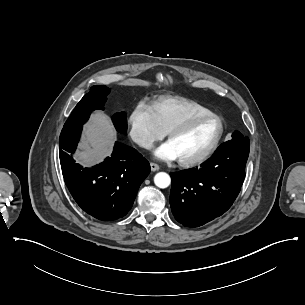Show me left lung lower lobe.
Returning <instances> with one entry per match:
<instances>
[{
  "label": "left lung lower lobe",
  "mask_w": 305,
  "mask_h": 305,
  "mask_svg": "<svg viewBox=\"0 0 305 305\" xmlns=\"http://www.w3.org/2000/svg\"><path fill=\"white\" fill-rule=\"evenodd\" d=\"M248 155V137L229 140L201 167L172 173L170 205L175 219L198 227L225 213L240 192Z\"/></svg>",
  "instance_id": "0a47b994"
}]
</instances>
